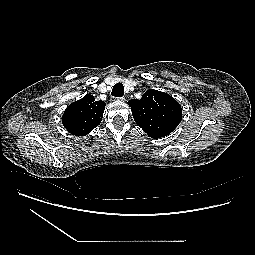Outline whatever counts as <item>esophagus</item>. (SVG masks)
<instances>
[{
    "instance_id": "1",
    "label": "esophagus",
    "mask_w": 255,
    "mask_h": 255,
    "mask_svg": "<svg viewBox=\"0 0 255 255\" xmlns=\"http://www.w3.org/2000/svg\"><path fill=\"white\" fill-rule=\"evenodd\" d=\"M116 99L119 100V101H122V102L125 101V97H118V98H116Z\"/></svg>"
}]
</instances>
